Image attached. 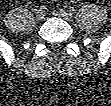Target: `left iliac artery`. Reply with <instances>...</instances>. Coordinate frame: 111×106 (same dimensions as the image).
Returning <instances> with one entry per match:
<instances>
[{
    "label": "left iliac artery",
    "instance_id": "1",
    "mask_svg": "<svg viewBox=\"0 0 111 106\" xmlns=\"http://www.w3.org/2000/svg\"><path fill=\"white\" fill-rule=\"evenodd\" d=\"M68 11H69L70 13H73V12L75 11V9H74L73 7H69V8H68Z\"/></svg>",
    "mask_w": 111,
    "mask_h": 106
}]
</instances>
